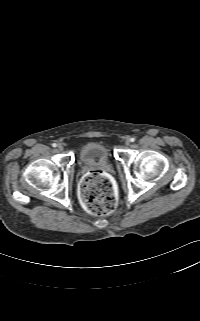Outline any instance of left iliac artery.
I'll return each instance as SVG.
<instances>
[{
    "label": "left iliac artery",
    "mask_w": 200,
    "mask_h": 321,
    "mask_svg": "<svg viewBox=\"0 0 200 321\" xmlns=\"http://www.w3.org/2000/svg\"><path fill=\"white\" fill-rule=\"evenodd\" d=\"M130 141H131V142H134V141H135V138H131Z\"/></svg>",
    "instance_id": "left-iliac-artery-1"
}]
</instances>
